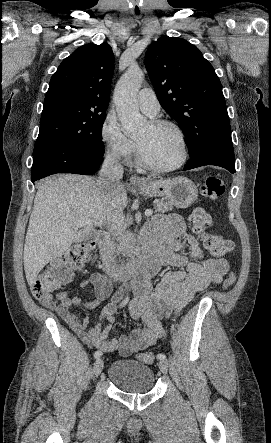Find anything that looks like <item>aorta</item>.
I'll list each match as a JSON object with an SVG mask.
<instances>
[{
	"instance_id": "762f6f07",
	"label": "aorta",
	"mask_w": 271,
	"mask_h": 443,
	"mask_svg": "<svg viewBox=\"0 0 271 443\" xmlns=\"http://www.w3.org/2000/svg\"><path fill=\"white\" fill-rule=\"evenodd\" d=\"M144 78L145 74L139 66H129L115 86L113 102L124 132H141L147 124V118L141 116L137 104Z\"/></svg>"
}]
</instances>
